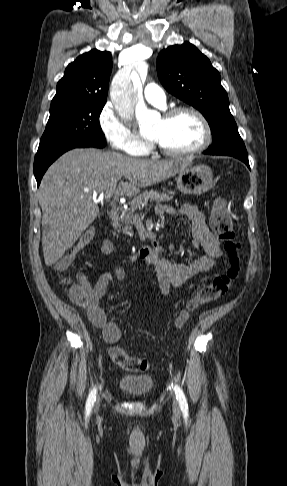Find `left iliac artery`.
<instances>
[{
	"label": "left iliac artery",
	"instance_id": "obj_1",
	"mask_svg": "<svg viewBox=\"0 0 287 486\" xmlns=\"http://www.w3.org/2000/svg\"><path fill=\"white\" fill-rule=\"evenodd\" d=\"M173 387V385H172ZM174 391L176 394V398L179 401L181 411L185 417L188 416V404L186 397L182 391V389L178 385H174Z\"/></svg>",
	"mask_w": 287,
	"mask_h": 486
}]
</instances>
